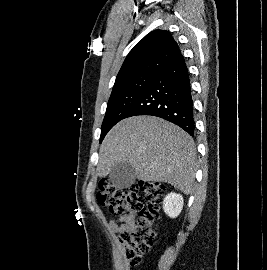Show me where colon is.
I'll list each match as a JSON object with an SVG mask.
<instances>
[{"instance_id":"5ec220e1","label":"colon","mask_w":267,"mask_h":270,"mask_svg":"<svg viewBox=\"0 0 267 270\" xmlns=\"http://www.w3.org/2000/svg\"><path fill=\"white\" fill-rule=\"evenodd\" d=\"M163 193L164 187L157 182L144 181L130 188L116 187L108 180L99 182L97 201L111 214L138 213V218L119 233L125 256L132 266L138 265L154 245Z\"/></svg>"}]
</instances>
